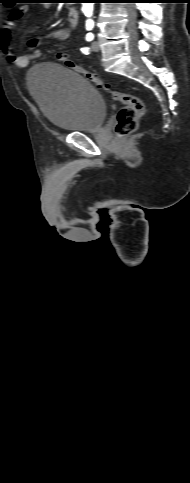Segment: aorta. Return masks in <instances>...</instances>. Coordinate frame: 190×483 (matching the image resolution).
I'll use <instances>...</instances> for the list:
<instances>
[{
	"label": "aorta",
	"mask_w": 190,
	"mask_h": 483,
	"mask_svg": "<svg viewBox=\"0 0 190 483\" xmlns=\"http://www.w3.org/2000/svg\"><path fill=\"white\" fill-rule=\"evenodd\" d=\"M94 3H82V11L86 17L90 18L93 15Z\"/></svg>",
	"instance_id": "aorta-1"
}]
</instances>
